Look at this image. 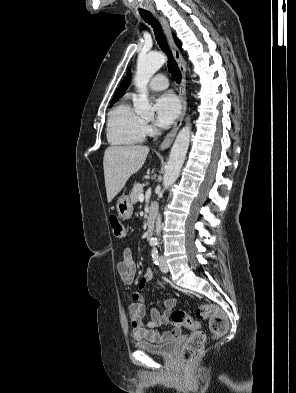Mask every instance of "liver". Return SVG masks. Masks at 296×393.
<instances>
[{"label":"liver","mask_w":296,"mask_h":393,"mask_svg":"<svg viewBox=\"0 0 296 393\" xmlns=\"http://www.w3.org/2000/svg\"><path fill=\"white\" fill-rule=\"evenodd\" d=\"M148 153L149 147L140 145L110 146L105 150L103 168L108 202H111L128 179L142 168Z\"/></svg>","instance_id":"obj_1"}]
</instances>
